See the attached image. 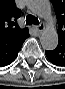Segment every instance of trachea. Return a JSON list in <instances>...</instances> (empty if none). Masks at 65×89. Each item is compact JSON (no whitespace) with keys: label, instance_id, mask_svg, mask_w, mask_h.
Listing matches in <instances>:
<instances>
[{"label":"trachea","instance_id":"1","mask_svg":"<svg viewBox=\"0 0 65 89\" xmlns=\"http://www.w3.org/2000/svg\"><path fill=\"white\" fill-rule=\"evenodd\" d=\"M26 24L27 25H32V24L39 25V20L37 17L29 14L26 16Z\"/></svg>","mask_w":65,"mask_h":89}]
</instances>
